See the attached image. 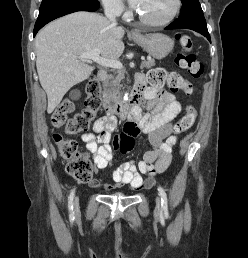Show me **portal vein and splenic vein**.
<instances>
[{"label": "portal vein and splenic vein", "mask_w": 248, "mask_h": 258, "mask_svg": "<svg viewBox=\"0 0 248 258\" xmlns=\"http://www.w3.org/2000/svg\"><path fill=\"white\" fill-rule=\"evenodd\" d=\"M74 59H80V60L90 59V60H93L96 63L100 64L101 66L111 67L114 69H121L123 67L122 63L118 60L105 59V58L101 57L99 55V51H97V50L88 51V52L80 55L78 58H74ZM141 60H144V58L142 57Z\"/></svg>", "instance_id": "obj_1"}]
</instances>
